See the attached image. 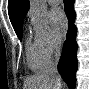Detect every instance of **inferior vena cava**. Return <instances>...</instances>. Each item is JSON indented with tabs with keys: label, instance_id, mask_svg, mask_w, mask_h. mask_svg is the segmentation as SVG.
<instances>
[{
	"label": "inferior vena cava",
	"instance_id": "inferior-vena-cava-1",
	"mask_svg": "<svg viewBox=\"0 0 89 89\" xmlns=\"http://www.w3.org/2000/svg\"><path fill=\"white\" fill-rule=\"evenodd\" d=\"M60 48H61V42L58 41V42L55 43V65L53 66V68L50 71V74L53 75L56 78H57V74H58L57 62H58V58H59V55H60Z\"/></svg>",
	"mask_w": 89,
	"mask_h": 89
}]
</instances>
